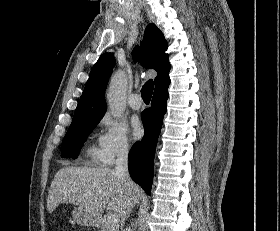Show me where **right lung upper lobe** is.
<instances>
[{
    "instance_id": "obj_1",
    "label": "right lung upper lobe",
    "mask_w": 280,
    "mask_h": 231,
    "mask_svg": "<svg viewBox=\"0 0 280 231\" xmlns=\"http://www.w3.org/2000/svg\"><path fill=\"white\" fill-rule=\"evenodd\" d=\"M166 50L167 42L163 33L155 24H149L141 46H136L132 52L134 60H140L146 67L157 71L154 93L167 90L170 84L171 65ZM114 66L115 59L112 53H104L100 56L90 72L71 125L100 120L104 116L106 112L104 92Z\"/></svg>"
}]
</instances>
